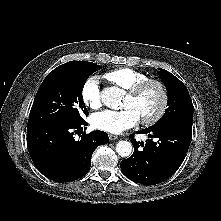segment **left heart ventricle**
I'll return each mask as SVG.
<instances>
[{
  "label": "left heart ventricle",
  "mask_w": 221,
  "mask_h": 221,
  "mask_svg": "<svg viewBox=\"0 0 221 221\" xmlns=\"http://www.w3.org/2000/svg\"><path fill=\"white\" fill-rule=\"evenodd\" d=\"M161 94L156 86H149L138 97L126 96L123 108H132L140 117L147 118L152 116L159 108Z\"/></svg>",
  "instance_id": "1"
}]
</instances>
